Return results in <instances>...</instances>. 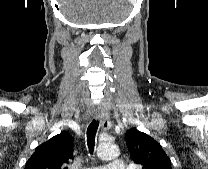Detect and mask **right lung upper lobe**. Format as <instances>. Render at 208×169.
I'll return each mask as SVG.
<instances>
[{
    "label": "right lung upper lobe",
    "mask_w": 208,
    "mask_h": 169,
    "mask_svg": "<svg viewBox=\"0 0 208 169\" xmlns=\"http://www.w3.org/2000/svg\"><path fill=\"white\" fill-rule=\"evenodd\" d=\"M73 159V137L61 132L38 146L25 169H68Z\"/></svg>",
    "instance_id": "cb5924a9"
}]
</instances>
